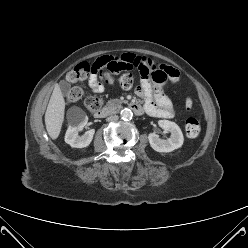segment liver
Returning a JSON list of instances; mask_svg holds the SVG:
<instances>
[{"label": "liver", "instance_id": "1", "mask_svg": "<svg viewBox=\"0 0 248 248\" xmlns=\"http://www.w3.org/2000/svg\"><path fill=\"white\" fill-rule=\"evenodd\" d=\"M65 100L58 84L55 85L50 97L46 113L45 125L49 136L55 140L58 138L64 121Z\"/></svg>", "mask_w": 248, "mask_h": 248}]
</instances>
